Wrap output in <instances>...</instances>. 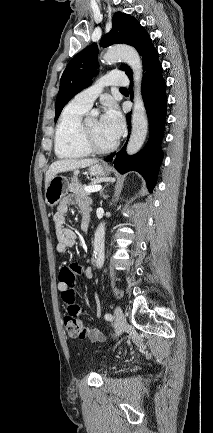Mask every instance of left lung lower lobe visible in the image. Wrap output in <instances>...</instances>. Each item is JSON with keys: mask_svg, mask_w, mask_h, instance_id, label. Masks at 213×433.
<instances>
[{"mask_svg": "<svg viewBox=\"0 0 213 433\" xmlns=\"http://www.w3.org/2000/svg\"><path fill=\"white\" fill-rule=\"evenodd\" d=\"M129 78L132 85V74L129 75ZM165 87L158 52L153 48L144 58L142 80V96L150 123L149 140L146 146L133 156L126 153L125 145L119 152L105 158L106 162L113 160L115 168L121 174L128 171L139 172L146 180L150 192L153 191L156 184L159 166L163 159L161 141L163 139L167 106ZM130 93L132 94L131 86ZM130 120V114H127L129 131L131 130Z\"/></svg>", "mask_w": 213, "mask_h": 433, "instance_id": "obj_1", "label": "left lung lower lobe"}]
</instances>
